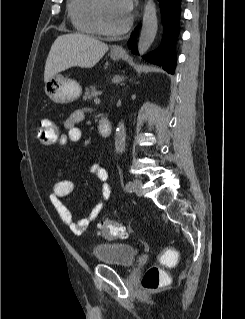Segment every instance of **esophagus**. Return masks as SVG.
<instances>
[{
	"instance_id": "34e87169",
	"label": "esophagus",
	"mask_w": 245,
	"mask_h": 319,
	"mask_svg": "<svg viewBox=\"0 0 245 319\" xmlns=\"http://www.w3.org/2000/svg\"><path fill=\"white\" fill-rule=\"evenodd\" d=\"M112 50H113L114 52H116V53H120V54L124 53L123 47H122V46H119V45L113 46Z\"/></svg>"
}]
</instances>
